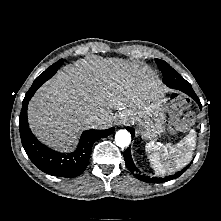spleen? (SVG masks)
I'll use <instances>...</instances> for the list:
<instances>
[{
  "label": "spleen",
  "mask_w": 221,
  "mask_h": 221,
  "mask_svg": "<svg viewBox=\"0 0 221 221\" xmlns=\"http://www.w3.org/2000/svg\"><path fill=\"white\" fill-rule=\"evenodd\" d=\"M196 147V132L191 129L189 134L177 144L166 145L150 141L145 146L149 162L156 174L174 173L185 167L192 159Z\"/></svg>",
  "instance_id": "obj_1"
}]
</instances>
